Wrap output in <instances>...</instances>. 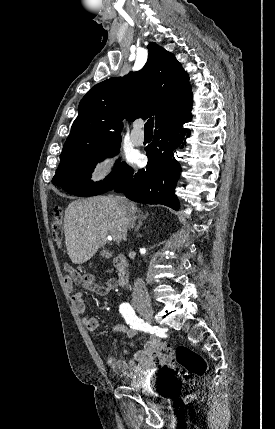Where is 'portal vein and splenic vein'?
Returning <instances> with one entry per match:
<instances>
[{
  "mask_svg": "<svg viewBox=\"0 0 275 429\" xmlns=\"http://www.w3.org/2000/svg\"><path fill=\"white\" fill-rule=\"evenodd\" d=\"M109 238H110V239H113V240H114V241H116V242H120V241H121V239H122V236H121V235H118V234H114V235L109 236Z\"/></svg>",
  "mask_w": 275,
  "mask_h": 429,
  "instance_id": "portal-vein-and-splenic-vein-1",
  "label": "portal vein and splenic vein"
}]
</instances>
